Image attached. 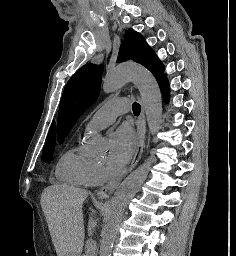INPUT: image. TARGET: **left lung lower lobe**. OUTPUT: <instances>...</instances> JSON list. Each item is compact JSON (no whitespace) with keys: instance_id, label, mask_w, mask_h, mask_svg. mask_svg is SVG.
Masks as SVG:
<instances>
[{"instance_id":"left-lung-lower-lobe-1","label":"left lung lower lobe","mask_w":236,"mask_h":256,"mask_svg":"<svg viewBox=\"0 0 236 256\" xmlns=\"http://www.w3.org/2000/svg\"><path fill=\"white\" fill-rule=\"evenodd\" d=\"M158 84L161 88L164 99L167 101L169 98V88L168 81L165 75H163L160 79L157 80Z\"/></svg>"}]
</instances>
